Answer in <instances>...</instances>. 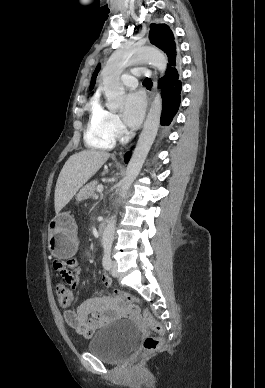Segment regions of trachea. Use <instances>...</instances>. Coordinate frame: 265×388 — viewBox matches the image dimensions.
<instances>
[{"label": "trachea", "instance_id": "3493384b", "mask_svg": "<svg viewBox=\"0 0 265 388\" xmlns=\"http://www.w3.org/2000/svg\"><path fill=\"white\" fill-rule=\"evenodd\" d=\"M144 83H145L146 85L152 84V82H151V80H150L149 78H146V79L144 80Z\"/></svg>", "mask_w": 265, "mask_h": 388}]
</instances>
